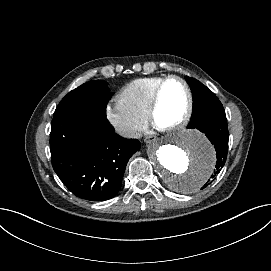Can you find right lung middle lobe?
Here are the masks:
<instances>
[{
  "mask_svg": "<svg viewBox=\"0 0 271 271\" xmlns=\"http://www.w3.org/2000/svg\"><path fill=\"white\" fill-rule=\"evenodd\" d=\"M113 93L101 80L89 81L69 92L58 104L54 117L70 110L84 109L106 114Z\"/></svg>",
  "mask_w": 271,
  "mask_h": 271,
  "instance_id": "1",
  "label": "right lung middle lobe"
}]
</instances>
